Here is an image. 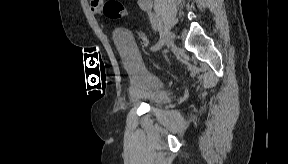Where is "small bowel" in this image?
<instances>
[{
  "label": "small bowel",
  "mask_w": 288,
  "mask_h": 164,
  "mask_svg": "<svg viewBox=\"0 0 288 164\" xmlns=\"http://www.w3.org/2000/svg\"><path fill=\"white\" fill-rule=\"evenodd\" d=\"M140 7H141L142 9H146V8L148 7L147 1H142V2L140 3Z\"/></svg>",
  "instance_id": "c3829d8e"
}]
</instances>
